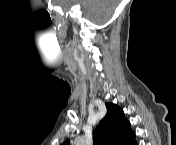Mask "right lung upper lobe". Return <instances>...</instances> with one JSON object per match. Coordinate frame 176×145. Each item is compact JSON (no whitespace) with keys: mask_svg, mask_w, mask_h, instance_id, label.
<instances>
[{"mask_svg":"<svg viewBox=\"0 0 176 145\" xmlns=\"http://www.w3.org/2000/svg\"><path fill=\"white\" fill-rule=\"evenodd\" d=\"M107 114L94 131V145H135V133L123 110L113 103H106ZM64 145H69L66 140Z\"/></svg>","mask_w":176,"mask_h":145,"instance_id":"cb5924a9","label":"right lung upper lobe"}]
</instances>
